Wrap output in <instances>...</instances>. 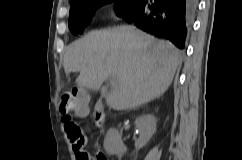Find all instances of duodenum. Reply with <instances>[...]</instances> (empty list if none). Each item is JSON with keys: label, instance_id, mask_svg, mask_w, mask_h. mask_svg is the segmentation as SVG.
<instances>
[{"label": "duodenum", "instance_id": "duodenum-1", "mask_svg": "<svg viewBox=\"0 0 242 160\" xmlns=\"http://www.w3.org/2000/svg\"><path fill=\"white\" fill-rule=\"evenodd\" d=\"M94 121L97 126H101L105 120V109L102 103L98 102L95 105L94 113H93Z\"/></svg>", "mask_w": 242, "mask_h": 160}]
</instances>
